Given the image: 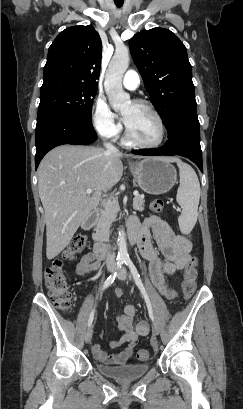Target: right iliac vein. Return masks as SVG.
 <instances>
[{
  "label": "right iliac vein",
  "instance_id": "63e3f726",
  "mask_svg": "<svg viewBox=\"0 0 243 409\" xmlns=\"http://www.w3.org/2000/svg\"><path fill=\"white\" fill-rule=\"evenodd\" d=\"M109 272L113 271V267L108 268ZM92 335H93V328L89 327V329L87 330L86 334H85V341L86 343H90L91 339H92Z\"/></svg>",
  "mask_w": 243,
  "mask_h": 409
}]
</instances>
